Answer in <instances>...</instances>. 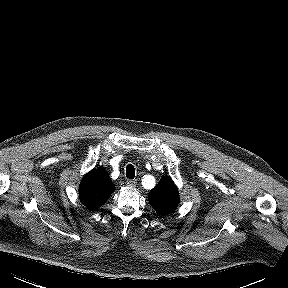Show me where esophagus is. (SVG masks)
Instances as JSON below:
<instances>
[{"label":"esophagus","instance_id":"esophagus-1","mask_svg":"<svg viewBox=\"0 0 288 288\" xmlns=\"http://www.w3.org/2000/svg\"><path fill=\"white\" fill-rule=\"evenodd\" d=\"M126 183L130 187H135L137 185V181L136 180H127Z\"/></svg>","mask_w":288,"mask_h":288}]
</instances>
